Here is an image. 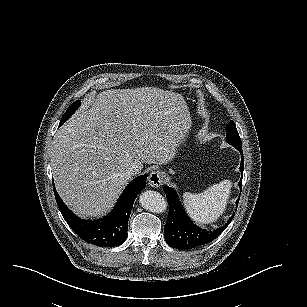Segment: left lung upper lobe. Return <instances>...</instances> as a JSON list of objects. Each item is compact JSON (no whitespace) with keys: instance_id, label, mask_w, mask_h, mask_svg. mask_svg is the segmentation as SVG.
I'll use <instances>...</instances> for the list:
<instances>
[{"instance_id":"1","label":"left lung upper lobe","mask_w":307,"mask_h":307,"mask_svg":"<svg viewBox=\"0 0 307 307\" xmlns=\"http://www.w3.org/2000/svg\"><path fill=\"white\" fill-rule=\"evenodd\" d=\"M226 141L236 149H242L241 139L233 121L226 126Z\"/></svg>"}]
</instances>
